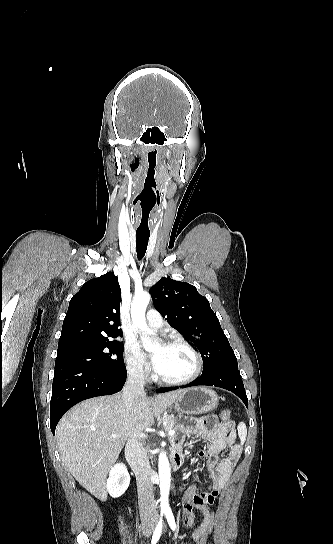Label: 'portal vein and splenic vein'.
I'll list each match as a JSON object with an SVG mask.
<instances>
[{"label": "portal vein and splenic vein", "mask_w": 333, "mask_h": 544, "mask_svg": "<svg viewBox=\"0 0 333 544\" xmlns=\"http://www.w3.org/2000/svg\"><path fill=\"white\" fill-rule=\"evenodd\" d=\"M168 434H169L170 436H171V435H174V434H175V431H174V430H169V431H168ZM138 436H139V437H146V435H145L144 433H139ZM112 437L115 438L116 435L113 434Z\"/></svg>", "instance_id": "obj_1"}]
</instances>
